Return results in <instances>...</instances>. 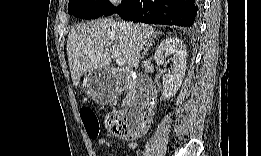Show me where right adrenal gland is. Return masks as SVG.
Here are the masks:
<instances>
[{"instance_id": "right-adrenal-gland-1", "label": "right adrenal gland", "mask_w": 261, "mask_h": 156, "mask_svg": "<svg viewBox=\"0 0 261 156\" xmlns=\"http://www.w3.org/2000/svg\"><path fill=\"white\" fill-rule=\"evenodd\" d=\"M160 34H162V33L159 32L157 35H160ZM152 43H153V41H151L149 44H147V45L144 47L143 52H142V56H144V55L147 53L148 49L152 46Z\"/></svg>"}]
</instances>
